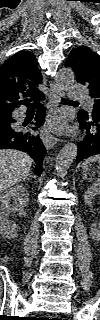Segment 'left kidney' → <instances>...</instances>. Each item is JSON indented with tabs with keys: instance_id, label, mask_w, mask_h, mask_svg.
<instances>
[{
	"instance_id": "5707ae66",
	"label": "left kidney",
	"mask_w": 100,
	"mask_h": 320,
	"mask_svg": "<svg viewBox=\"0 0 100 320\" xmlns=\"http://www.w3.org/2000/svg\"><path fill=\"white\" fill-rule=\"evenodd\" d=\"M100 195V184L95 183L92 186L88 188V190L85 192V203L87 205H91L94 198ZM91 234L95 238H99L100 236V229L97 226V223L92 224L91 226Z\"/></svg>"
}]
</instances>
